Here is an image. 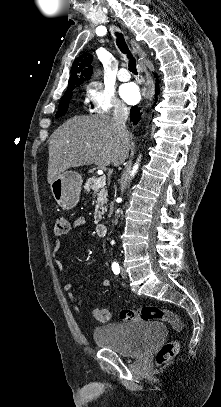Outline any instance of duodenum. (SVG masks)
Returning a JSON list of instances; mask_svg holds the SVG:
<instances>
[{
  "label": "duodenum",
  "mask_w": 221,
  "mask_h": 407,
  "mask_svg": "<svg viewBox=\"0 0 221 407\" xmlns=\"http://www.w3.org/2000/svg\"><path fill=\"white\" fill-rule=\"evenodd\" d=\"M108 226L104 223H98L96 225V232L99 236H104L107 232Z\"/></svg>",
  "instance_id": "1"
}]
</instances>
